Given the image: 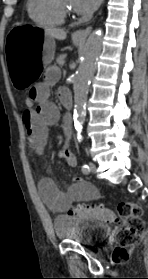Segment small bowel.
Instances as JSON below:
<instances>
[{
    "label": "small bowel",
    "instance_id": "c3829d8e",
    "mask_svg": "<svg viewBox=\"0 0 148 279\" xmlns=\"http://www.w3.org/2000/svg\"><path fill=\"white\" fill-rule=\"evenodd\" d=\"M59 76L60 71L57 67L48 68L44 73L43 81L32 87L28 93L38 105L36 108L26 107L23 112V122L30 145L37 152H41L46 144L49 127L55 125L60 119L58 107L49 99L50 87L58 81ZM58 97L63 102L70 96L66 89H60ZM65 122L67 127L68 116H66ZM59 157L70 166L77 164L76 157L68 145L61 149ZM38 188L44 203L54 212H65L73 202L88 201L97 197L95 187L79 177L72 179L67 191L60 190L50 178L40 180Z\"/></svg>",
    "mask_w": 148,
    "mask_h": 279
}]
</instances>
